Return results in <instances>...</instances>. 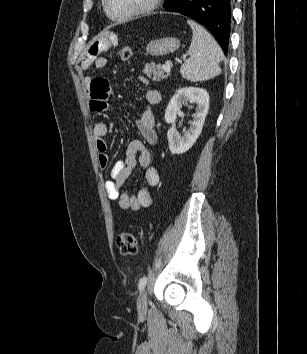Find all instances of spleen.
Here are the masks:
<instances>
[{"mask_svg": "<svg viewBox=\"0 0 307 354\" xmlns=\"http://www.w3.org/2000/svg\"><path fill=\"white\" fill-rule=\"evenodd\" d=\"M193 31L189 48L190 58L180 68L181 75L192 82L205 81L221 73V48L202 26L188 20Z\"/></svg>", "mask_w": 307, "mask_h": 354, "instance_id": "3e777b00", "label": "spleen"}]
</instances>
